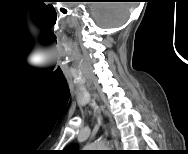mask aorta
I'll return each instance as SVG.
<instances>
[{
	"label": "aorta",
	"mask_w": 188,
	"mask_h": 154,
	"mask_svg": "<svg viewBox=\"0 0 188 154\" xmlns=\"http://www.w3.org/2000/svg\"><path fill=\"white\" fill-rule=\"evenodd\" d=\"M89 150H109L110 143L105 140H96L93 143L86 146Z\"/></svg>",
	"instance_id": "1"
}]
</instances>
